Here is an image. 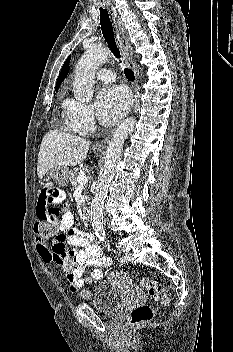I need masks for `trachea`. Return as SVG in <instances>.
<instances>
[{"label": "trachea", "instance_id": "obj_1", "mask_svg": "<svg viewBox=\"0 0 233 352\" xmlns=\"http://www.w3.org/2000/svg\"><path fill=\"white\" fill-rule=\"evenodd\" d=\"M99 10H100V25H101L103 37L105 38V41L107 42L114 56L117 59H120L121 55L115 42L112 22L110 21L108 11L103 8H100ZM124 74L129 81H134L135 76L132 70L125 68Z\"/></svg>", "mask_w": 233, "mask_h": 352}]
</instances>
